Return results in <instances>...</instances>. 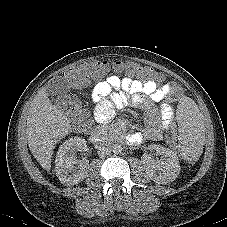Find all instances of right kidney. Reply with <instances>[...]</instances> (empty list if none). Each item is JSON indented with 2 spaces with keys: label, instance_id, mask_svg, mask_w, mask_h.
<instances>
[{
  "label": "right kidney",
  "instance_id": "ca27d5eb",
  "mask_svg": "<svg viewBox=\"0 0 227 227\" xmlns=\"http://www.w3.org/2000/svg\"><path fill=\"white\" fill-rule=\"evenodd\" d=\"M86 141L80 137L66 140L59 147L55 160V172L60 182L65 185H76L81 182L89 168L87 160H78L77 151H82Z\"/></svg>",
  "mask_w": 227,
  "mask_h": 227
}]
</instances>
